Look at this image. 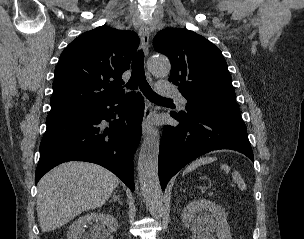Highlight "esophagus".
Segmentation results:
<instances>
[{
  "instance_id": "obj_1",
  "label": "esophagus",
  "mask_w": 304,
  "mask_h": 239,
  "mask_svg": "<svg viewBox=\"0 0 304 239\" xmlns=\"http://www.w3.org/2000/svg\"><path fill=\"white\" fill-rule=\"evenodd\" d=\"M139 36H140L141 45L143 47L144 53L147 56L148 51H149L150 30L146 23H142L140 30H139ZM146 76H147V79L150 82H152V76L149 72L146 73ZM154 113H155V108H153L149 103H147L145 106L144 118L142 121L143 137H145L152 130L151 118Z\"/></svg>"
}]
</instances>
